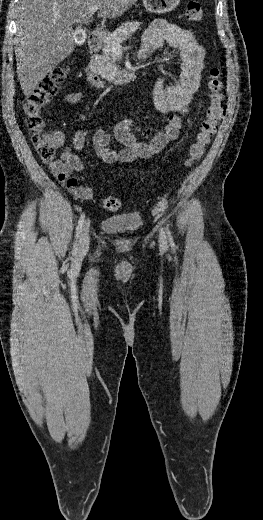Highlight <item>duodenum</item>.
<instances>
[{
  "mask_svg": "<svg viewBox=\"0 0 263 520\" xmlns=\"http://www.w3.org/2000/svg\"><path fill=\"white\" fill-rule=\"evenodd\" d=\"M101 46L100 33L97 31L92 32L88 38V50L89 54L93 56L97 53ZM84 72L87 83L94 89L99 91H106L109 89V85L99 76L96 69L92 65L91 58L87 61ZM133 79L132 74H126L122 77L121 81L117 83L118 86L125 85Z\"/></svg>",
  "mask_w": 263,
  "mask_h": 520,
  "instance_id": "duodenum-1",
  "label": "duodenum"
}]
</instances>
